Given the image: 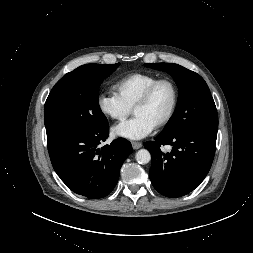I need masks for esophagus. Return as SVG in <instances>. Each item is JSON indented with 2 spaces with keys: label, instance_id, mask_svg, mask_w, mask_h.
<instances>
[{
  "label": "esophagus",
  "instance_id": "34e87169",
  "mask_svg": "<svg viewBox=\"0 0 253 253\" xmlns=\"http://www.w3.org/2000/svg\"><path fill=\"white\" fill-rule=\"evenodd\" d=\"M132 147H133V149H139V148H141L142 147V143H140V142H132Z\"/></svg>",
  "mask_w": 253,
  "mask_h": 253
}]
</instances>
